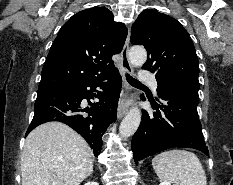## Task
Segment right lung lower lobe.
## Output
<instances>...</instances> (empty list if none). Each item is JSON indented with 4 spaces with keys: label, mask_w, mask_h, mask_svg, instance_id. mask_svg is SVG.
I'll return each mask as SVG.
<instances>
[{
    "label": "right lung lower lobe",
    "mask_w": 233,
    "mask_h": 185,
    "mask_svg": "<svg viewBox=\"0 0 233 185\" xmlns=\"http://www.w3.org/2000/svg\"><path fill=\"white\" fill-rule=\"evenodd\" d=\"M105 77L81 81L67 86L38 89L34 106V117L26 135L38 125L48 121H60L81 134L98 155L102 148V136L110 123L116 120L117 104L121 90V76L118 71ZM105 85V86H104ZM101 87L104 92H97ZM97 92L99 102L92 104L90 99ZM88 100L89 107L82 103Z\"/></svg>",
    "instance_id": "right-lung-lower-lobe-1"
}]
</instances>
